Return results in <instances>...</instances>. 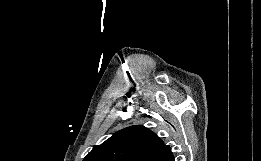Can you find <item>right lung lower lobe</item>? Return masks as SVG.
I'll return each instance as SVG.
<instances>
[{
  "instance_id": "98d812e1",
  "label": "right lung lower lobe",
  "mask_w": 261,
  "mask_h": 161,
  "mask_svg": "<svg viewBox=\"0 0 261 161\" xmlns=\"http://www.w3.org/2000/svg\"><path fill=\"white\" fill-rule=\"evenodd\" d=\"M166 161H174L173 156L171 158H169L168 160H166Z\"/></svg>"
}]
</instances>
